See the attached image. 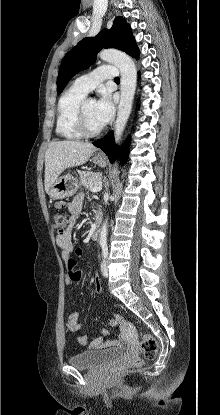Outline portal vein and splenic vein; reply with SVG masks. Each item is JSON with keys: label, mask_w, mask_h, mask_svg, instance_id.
<instances>
[{"label": "portal vein and splenic vein", "mask_w": 220, "mask_h": 415, "mask_svg": "<svg viewBox=\"0 0 220 415\" xmlns=\"http://www.w3.org/2000/svg\"><path fill=\"white\" fill-rule=\"evenodd\" d=\"M101 189H102V184L100 183V184H98V185L94 186V187L91 189V191H92V192H98V191H100Z\"/></svg>", "instance_id": "1"}]
</instances>
